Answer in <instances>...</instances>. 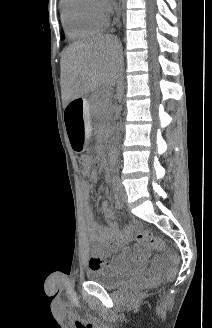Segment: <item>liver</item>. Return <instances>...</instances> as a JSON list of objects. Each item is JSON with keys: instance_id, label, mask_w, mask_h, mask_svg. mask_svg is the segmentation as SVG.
Instances as JSON below:
<instances>
[{"instance_id": "liver-1", "label": "liver", "mask_w": 212, "mask_h": 328, "mask_svg": "<svg viewBox=\"0 0 212 328\" xmlns=\"http://www.w3.org/2000/svg\"><path fill=\"white\" fill-rule=\"evenodd\" d=\"M120 45L104 34L74 43L61 57V91L64 102L78 99L101 86L115 84L120 67Z\"/></svg>"}]
</instances>
